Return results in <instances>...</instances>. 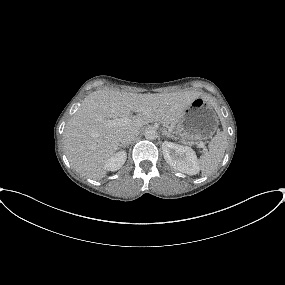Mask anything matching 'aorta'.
Returning a JSON list of instances; mask_svg holds the SVG:
<instances>
[{"label": "aorta", "mask_w": 285, "mask_h": 285, "mask_svg": "<svg viewBox=\"0 0 285 285\" xmlns=\"http://www.w3.org/2000/svg\"><path fill=\"white\" fill-rule=\"evenodd\" d=\"M144 136L147 140H154L157 138L158 133L154 127H148L144 132Z\"/></svg>", "instance_id": "762f6f07"}]
</instances>
